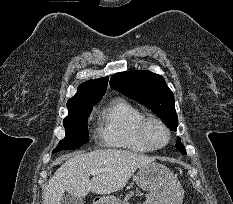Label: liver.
I'll use <instances>...</instances> for the list:
<instances>
[{"label":"liver","instance_id":"liver-1","mask_svg":"<svg viewBox=\"0 0 233 204\" xmlns=\"http://www.w3.org/2000/svg\"><path fill=\"white\" fill-rule=\"evenodd\" d=\"M154 161L140 153L121 149H101L76 153L54 173L43 193L42 204H60L67 191L75 197H84L90 191L110 194L123 189L134 172ZM92 169H106L94 175Z\"/></svg>","mask_w":233,"mask_h":204}]
</instances>
